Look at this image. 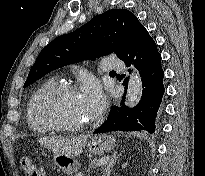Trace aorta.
<instances>
[{"label": "aorta", "instance_id": "obj_1", "mask_svg": "<svg viewBox=\"0 0 205 176\" xmlns=\"http://www.w3.org/2000/svg\"><path fill=\"white\" fill-rule=\"evenodd\" d=\"M142 95V82L138 72H133L127 89L126 104L129 107H134L140 100Z\"/></svg>", "mask_w": 205, "mask_h": 176}]
</instances>
